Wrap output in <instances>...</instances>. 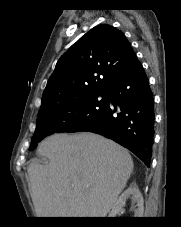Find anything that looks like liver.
<instances>
[{"label": "liver", "instance_id": "6515ba94", "mask_svg": "<svg viewBox=\"0 0 181 227\" xmlns=\"http://www.w3.org/2000/svg\"><path fill=\"white\" fill-rule=\"evenodd\" d=\"M38 153L49 159L28 167L38 217H105L134 167L128 150L88 132L50 136Z\"/></svg>", "mask_w": 181, "mask_h": 227}]
</instances>
